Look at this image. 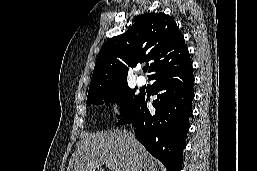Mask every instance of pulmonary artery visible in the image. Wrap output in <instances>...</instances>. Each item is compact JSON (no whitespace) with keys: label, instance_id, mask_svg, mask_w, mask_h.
<instances>
[{"label":"pulmonary artery","instance_id":"obj_1","mask_svg":"<svg viewBox=\"0 0 257 171\" xmlns=\"http://www.w3.org/2000/svg\"><path fill=\"white\" fill-rule=\"evenodd\" d=\"M137 85L138 86H143L146 83V80L143 76H138L136 79Z\"/></svg>","mask_w":257,"mask_h":171}]
</instances>
